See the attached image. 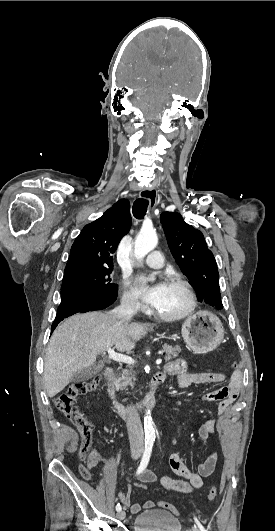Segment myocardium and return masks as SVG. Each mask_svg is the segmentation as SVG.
<instances>
[{"mask_svg": "<svg viewBox=\"0 0 275 531\" xmlns=\"http://www.w3.org/2000/svg\"><path fill=\"white\" fill-rule=\"evenodd\" d=\"M169 281H172V282L180 285L184 289V291L187 294V298H188L187 307L182 312H180L178 314H170V315L161 314V313L155 311L154 308H153V311H154L156 316H158L160 319H162L164 321H179V320H183V319L187 318L190 314H192V312L195 310V307H196V295H195V292L193 290L192 285L185 278H183V277H181L179 275L170 276Z\"/></svg>", "mask_w": 275, "mask_h": 531, "instance_id": "1", "label": "myocardium"}]
</instances>
